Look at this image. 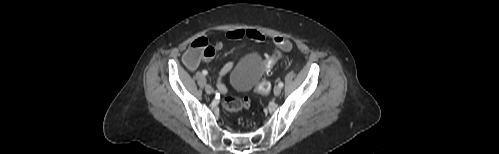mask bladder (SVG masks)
I'll return each instance as SVG.
<instances>
[{
  "mask_svg": "<svg viewBox=\"0 0 499 154\" xmlns=\"http://www.w3.org/2000/svg\"><path fill=\"white\" fill-rule=\"evenodd\" d=\"M265 66L257 53L245 55L230 75V87L233 91L244 93L254 88L262 79Z\"/></svg>",
  "mask_w": 499,
  "mask_h": 154,
  "instance_id": "bladder-1",
  "label": "bladder"
}]
</instances>
